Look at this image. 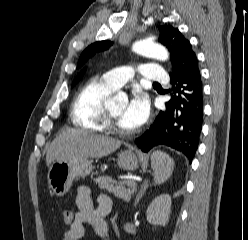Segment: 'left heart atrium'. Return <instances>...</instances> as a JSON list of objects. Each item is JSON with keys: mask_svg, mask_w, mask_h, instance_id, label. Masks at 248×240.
<instances>
[{"mask_svg": "<svg viewBox=\"0 0 248 240\" xmlns=\"http://www.w3.org/2000/svg\"><path fill=\"white\" fill-rule=\"evenodd\" d=\"M149 115V100L147 95L137 89L128 101L123 119L130 128L141 126Z\"/></svg>", "mask_w": 248, "mask_h": 240, "instance_id": "1", "label": "left heart atrium"}]
</instances>
